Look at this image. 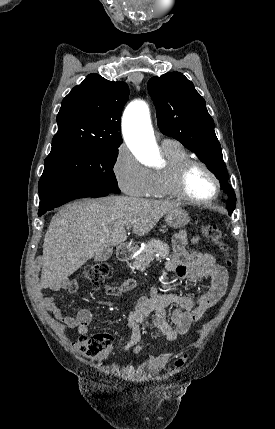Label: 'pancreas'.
Returning <instances> with one entry per match:
<instances>
[{"mask_svg":"<svg viewBox=\"0 0 275 429\" xmlns=\"http://www.w3.org/2000/svg\"><path fill=\"white\" fill-rule=\"evenodd\" d=\"M156 254L162 258L170 256L169 246L161 241L150 240L143 251L134 258L133 266L136 268L148 266L154 260Z\"/></svg>","mask_w":275,"mask_h":429,"instance_id":"pancreas-1","label":"pancreas"}]
</instances>
